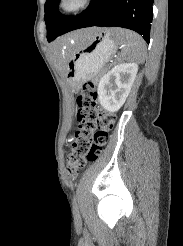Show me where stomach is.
I'll return each instance as SVG.
<instances>
[{
	"label": "stomach",
	"mask_w": 183,
	"mask_h": 246,
	"mask_svg": "<svg viewBox=\"0 0 183 246\" xmlns=\"http://www.w3.org/2000/svg\"><path fill=\"white\" fill-rule=\"evenodd\" d=\"M114 29H100L92 39L67 42L64 52L68 57L66 77L74 90L89 78L95 76L116 51Z\"/></svg>",
	"instance_id": "1"
}]
</instances>
